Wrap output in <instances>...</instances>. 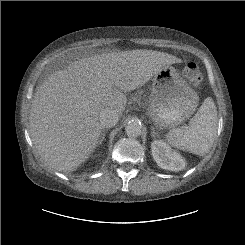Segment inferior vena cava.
Wrapping results in <instances>:
<instances>
[{
  "label": "inferior vena cava",
  "instance_id": "inferior-vena-cava-1",
  "mask_svg": "<svg viewBox=\"0 0 245 245\" xmlns=\"http://www.w3.org/2000/svg\"><path fill=\"white\" fill-rule=\"evenodd\" d=\"M120 115L113 109L105 108L100 112L99 120L103 127H113L119 121Z\"/></svg>",
  "mask_w": 245,
  "mask_h": 245
}]
</instances>
